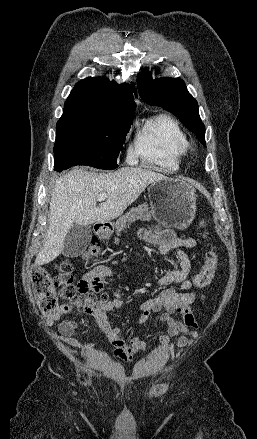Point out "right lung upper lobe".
Returning a JSON list of instances; mask_svg holds the SVG:
<instances>
[{"mask_svg":"<svg viewBox=\"0 0 257 439\" xmlns=\"http://www.w3.org/2000/svg\"><path fill=\"white\" fill-rule=\"evenodd\" d=\"M134 84L119 85L105 77H89L79 81L64 105L62 116L92 114L102 117H123L136 108Z\"/></svg>","mask_w":257,"mask_h":439,"instance_id":"1","label":"right lung upper lobe"}]
</instances>
